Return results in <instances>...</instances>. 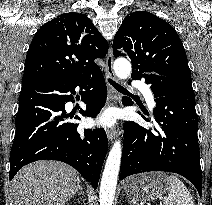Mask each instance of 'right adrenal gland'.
I'll return each instance as SVG.
<instances>
[{
    "instance_id": "1",
    "label": "right adrenal gland",
    "mask_w": 212,
    "mask_h": 205,
    "mask_svg": "<svg viewBox=\"0 0 212 205\" xmlns=\"http://www.w3.org/2000/svg\"><path fill=\"white\" fill-rule=\"evenodd\" d=\"M78 190H80L81 194L84 195V191H83V188L82 186L80 185V180L77 181V188L74 192V195H76V193L78 192Z\"/></svg>"
}]
</instances>
